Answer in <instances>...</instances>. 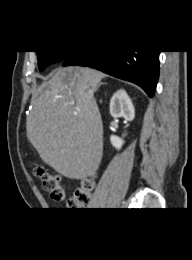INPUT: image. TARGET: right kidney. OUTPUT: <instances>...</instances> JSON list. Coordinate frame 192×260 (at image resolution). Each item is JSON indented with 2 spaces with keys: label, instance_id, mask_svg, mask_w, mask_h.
I'll use <instances>...</instances> for the list:
<instances>
[{
  "label": "right kidney",
  "instance_id": "ca27d5eb",
  "mask_svg": "<svg viewBox=\"0 0 192 260\" xmlns=\"http://www.w3.org/2000/svg\"><path fill=\"white\" fill-rule=\"evenodd\" d=\"M110 114L114 118L122 117L127 121H132L135 111L131 99L124 89L118 90L110 101ZM110 142L117 150L121 149L124 141L116 135H111Z\"/></svg>",
  "mask_w": 192,
  "mask_h": 260
}]
</instances>
